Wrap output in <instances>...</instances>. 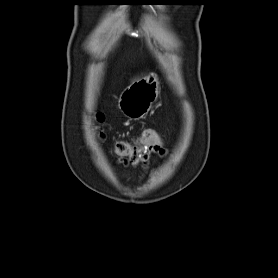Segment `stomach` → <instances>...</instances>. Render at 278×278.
I'll return each mask as SVG.
<instances>
[{
  "mask_svg": "<svg viewBox=\"0 0 278 278\" xmlns=\"http://www.w3.org/2000/svg\"><path fill=\"white\" fill-rule=\"evenodd\" d=\"M157 75L150 74L133 82L120 95L119 109L130 120L144 118L159 95Z\"/></svg>",
  "mask_w": 278,
  "mask_h": 278,
  "instance_id": "0dacf381",
  "label": "stomach"
}]
</instances>
